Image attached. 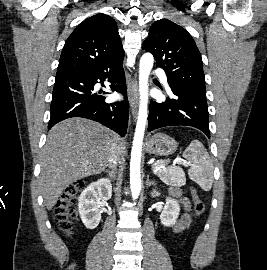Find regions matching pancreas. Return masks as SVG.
<instances>
[{"label":"pancreas","instance_id":"cf45deb5","mask_svg":"<svg viewBox=\"0 0 267 270\" xmlns=\"http://www.w3.org/2000/svg\"><path fill=\"white\" fill-rule=\"evenodd\" d=\"M163 162L159 161L154 165V170L156 172V174L160 177H162V179L166 180V182L168 184H172L173 179L172 177L169 175V169H161L159 168L162 165ZM158 168V169H157Z\"/></svg>","mask_w":267,"mask_h":270}]
</instances>
